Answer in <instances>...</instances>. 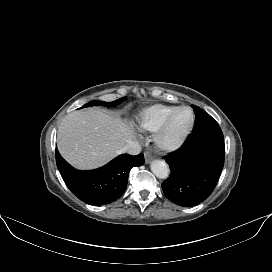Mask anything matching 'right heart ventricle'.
Instances as JSON below:
<instances>
[{
	"label": "right heart ventricle",
	"instance_id": "right-heart-ventricle-1",
	"mask_svg": "<svg viewBox=\"0 0 272 272\" xmlns=\"http://www.w3.org/2000/svg\"><path fill=\"white\" fill-rule=\"evenodd\" d=\"M176 108L173 105L156 104L144 109L138 116L140 129L147 132H156L164 119Z\"/></svg>",
	"mask_w": 272,
	"mask_h": 272
}]
</instances>
